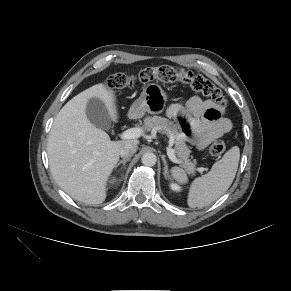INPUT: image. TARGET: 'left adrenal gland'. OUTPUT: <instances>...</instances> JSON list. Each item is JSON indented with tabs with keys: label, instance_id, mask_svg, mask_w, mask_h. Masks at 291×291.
I'll list each match as a JSON object with an SVG mask.
<instances>
[{
	"label": "left adrenal gland",
	"instance_id": "a2214340",
	"mask_svg": "<svg viewBox=\"0 0 291 291\" xmlns=\"http://www.w3.org/2000/svg\"><path fill=\"white\" fill-rule=\"evenodd\" d=\"M162 161L164 163V176L165 178L167 179L168 178V165H167V162H166V159H165V156L162 155Z\"/></svg>",
	"mask_w": 291,
	"mask_h": 291
}]
</instances>
